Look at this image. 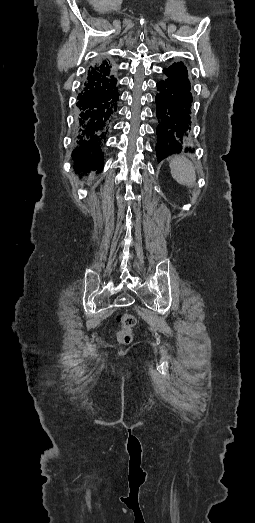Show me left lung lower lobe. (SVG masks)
Wrapping results in <instances>:
<instances>
[{
    "label": "left lung lower lobe",
    "mask_w": 255,
    "mask_h": 523,
    "mask_svg": "<svg viewBox=\"0 0 255 523\" xmlns=\"http://www.w3.org/2000/svg\"><path fill=\"white\" fill-rule=\"evenodd\" d=\"M174 81L173 76H166L156 82L157 91H160L156 97L160 124L155 129V134L159 135L155 161L159 162L165 161L169 154L193 148L188 143L192 128L190 109L196 108V103H193L191 90L185 85H175Z\"/></svg>",
    "instance_id": "1"
}]
</instances>
